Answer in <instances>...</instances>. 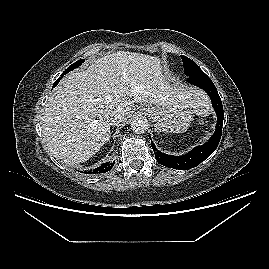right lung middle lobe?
<instances>
[{
  "label": "right lung middle lobe",
  "mask_w": 269,
  "mask_h": 269,
  "mask_svg": "<svg viewBox=\"0 0 269 269\" xmlns=\"http://www.w3.org/2000/svg\"><path fill=\"white\" fill-rule=\"evenodd\" d=\"M83 62H84V60L81 59V60H79V61L73 63V64H72L71 66H69L64 72L68 73V72L72 71L73 69L79 67Z\"/></svg>",
  "instance_id": "obj_1"
}]
</instances>
